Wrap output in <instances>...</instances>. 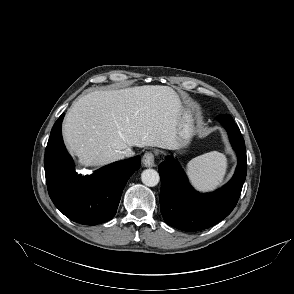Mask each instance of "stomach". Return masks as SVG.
<instances>
[{
    "instance_id": "0dacf381",
    "label": "stomach",
    "mask_w": 294,
    "mask_h": 294,
    "mask_svg": "<svg viewBox=\"0 0 294 294\" xmlns=\"http://www.w3.org/2000/svg\"><path fill=\"white\" fill-rule=\"evenodd\" d=\"M176 130V149L186 147L195 134V119L191 109L182 107V111L178 117Z\"/></svg>"
}]
</instances>
